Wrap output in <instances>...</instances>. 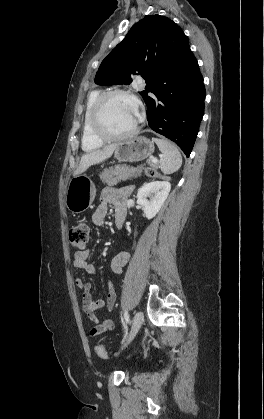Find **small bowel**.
<instances>
[{
	"mask_svg": "<svg viewBox=\"0 0 264 419\" xmlns=\"http://www.w3.org/2000/svg\"><path fill=\"white\" fill-rule=\"evenodd\" d=\"M130 188H106L102 190L100 196V204L92 215L93 223L101 226L105 222L108 213V204L115 206V221L118 217L124 220L126 210V199L130 192ZM130 258L129 251H122L117 254L112 262L111 269L114 273L120 274ZM73 266L77 269L86 271L89 274H95L96 270L92 264L88 262L87 251H77L74 254ZM76 286L82 290L83 309L89 320L94 324L90 330L92 337L99 336L103 333L110 332L114 329V322L110 319H100L96 311L106 307L109 311L113 308L116 301L115 288L111 281L108 282V295L106 300L94 299L91 294V284L82 278H76Z\"/></svg>",
	"mask_w": 264,
	"mask_h": 419,
	"instance_id": "small-bowel-1",
	"label": "small bowel"
}]
</instances>
